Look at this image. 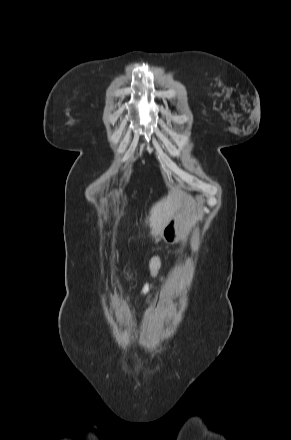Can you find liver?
Listing matches in <instances>:
<instances>
[{
    "label": "liver",
    "instance_id": "6515ba94",
    "mask_svg": "<svg viewBox=\"0 0 291 440\" xmlns=\"http://www.w3.org/2000/svg\"><path fill=\"white\" fill-rule=\"evenodd\" d=\"M181 196L182 192L175 191L153 205L146 221L149 223L152 235L160 233L168 223L169 219L174 215L179 207Z\"/></svg>",
    "mask_w": 291,
    "mask_h": 440
}]
</instances>
